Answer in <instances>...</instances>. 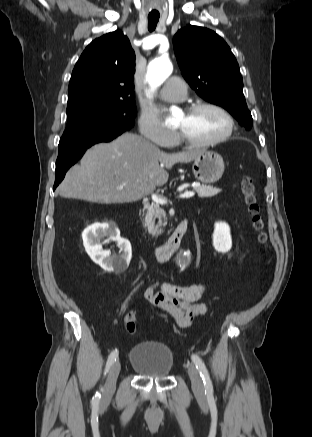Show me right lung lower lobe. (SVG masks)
<instances>
[{"instance_id": "98d812e1", "label": "right lung lower lobe", "mask_w": 312, "mask_h": 437, "mask_svg": "<svg viewBox=\"0 0 312 437\" xmlns=\"http://www.w3.org/2000/svg\"><path fill=\"white\" fill-rule=\"evenodd\" d=\"M120 134L91 139L89 141L77 144L69 149L59 151L56 161V179L53 189L63 180L66 171L74 165L85 153L86 149L99 142H109Z\"/></svg>"}]
</instances>
